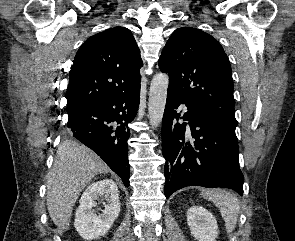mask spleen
Listing matches in <instances>:
<instances>
[{
	"label": "spleen",
	"mask_w": 295,
	"mask_h": 241,
	"mask_svg": "<svg viewBox=\"0 0 295 241\" xmlns=\"http://www.w3.org/2000/svg\"><path fill=\"white\" fill-rule=\"evenodd\" d=\"M201 196L212 201L219 208L227 232H232L236 226L240 210V202L236 195L223 189H209L203 190Z\"/></svg>",
	"instance_id": "spleen-1"
}]
</instances>
